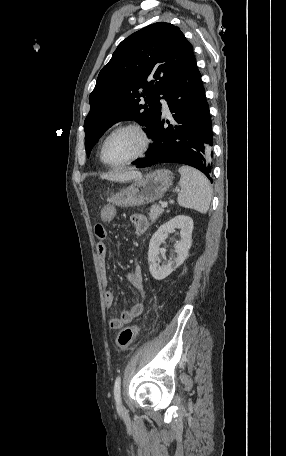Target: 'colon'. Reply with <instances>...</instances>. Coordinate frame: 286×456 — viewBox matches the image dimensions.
I'll return each mask as SVG.
<instances>
[{"mask_svg": "<svg viewBox=\"0 0 286 456\" xmlns=\"http://www.w3.org/2000/svg\"><path fill=\"white\" fill-rule=\"evenodd\" d=\"M140 328L138 326H130L124 328L117 336L116 344L118 348H127L136 338Z\"/></svg>", "mask_w": 286, "mask_h": 456, "instance_id": "5ec220e1", "label": "colon"}]
</instances>
